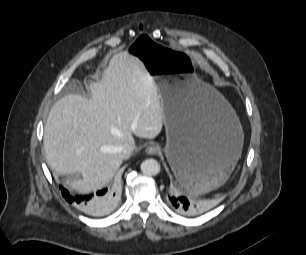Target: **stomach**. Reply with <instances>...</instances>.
Returning <instances> with one entry per match:
<instances>
[{"label": "stomach", "instance_id": "obj_1", "mask_svg": "<svg viewBox=\"0 0 306 255\" xmlns=\"http://www.w3.org/2000/svg\"><path fill=\"white\" fill-rule=\"evenodd\" d=\"M128 53L142 61L156 82L166 129L165 155L188 190L206 192L224 184L241 156L244 134L232 107L200 80L189 53L157 44L151 35L134 38ZM191 167V183L182 173Z\"/></svg>", "mask_w": 306, "mask_h": 255}]
</instances>
